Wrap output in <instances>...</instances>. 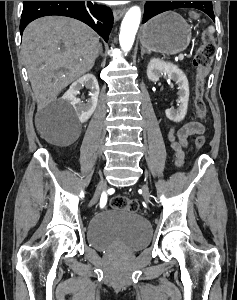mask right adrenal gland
<instances>
[{"mask_svg":"<svg viewBox=\"0 0 237 300\" xmlns=\"http://www.w3.org/2000/svg\"><path fill=\"white\" fill-rule=\"evenodd\" d=\"M99 49H100V51H99V55H102V57H104V55H103V51H102V45H101V43H100V47H99Z\"/></svg>","mask_w":237,"mask_h":300,"instance_id":"obj_1","label":"right adrenal gland"}]
</instances>
